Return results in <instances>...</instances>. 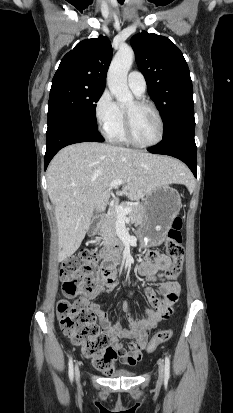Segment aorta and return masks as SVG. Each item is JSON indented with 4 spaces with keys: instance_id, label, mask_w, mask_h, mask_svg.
<instances>
[{
    "instance_id": "1",
    "label": "aorta",
    "mask_w": 233,
    "mask_h": 413,
    "mask_svg": "<svg viewBox=\"0 0 233 413\" xmlns=\"http://www.w3.org/2000/svg\"><path fill=\"white\" fill-rule=\"evenodd\" d=\"M133 60V49L122 47L117 51L108 70L107 84L109 90L120 105L133 103V95L127 85V75Z\"/></svg>"
}]
</instances>
